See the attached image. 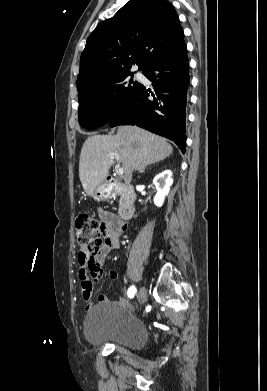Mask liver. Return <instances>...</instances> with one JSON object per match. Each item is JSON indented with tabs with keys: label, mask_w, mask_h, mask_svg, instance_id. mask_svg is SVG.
Instances as JSON below:
<instances>
[{
	"label": "liver",
	"mask_w": 267,
	"mask_h": 391,
	"mask_svg": "<svg viewBox=\"0 0 267 391\" xmlns=\"http://www.w3.org/2000/svg\"><path fill=\"white\" fill-rule=\"evenodd\" d=\"M172 151V146L160 136L137 126H121L116 135H94L86 139L80 154L79 178L84 191L93 196L114 163L110 154L120 156L124 180L130 183L134 171L164 160Z\"/></svg>",
	"instance_id": "obj_1"
}]
</instances>
